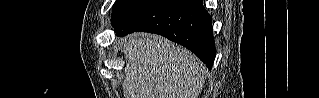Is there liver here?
Returning <instances> with one entry per match:
<instances>
[{"mask_svg":"<svg viewBox=\"0 0 319 98\" xmlns=\"http://www.w3.org/2000/svg\"><path fill=\"white\" fill-rule=\"evenodd\" d=\"M121 42L125 98H198L206 70L192 52L151 34H133Z\"/></svg>","mask_w":319,"mask_h":98,"instance_id":"liver-1","label":"liver"}]
</instances>
